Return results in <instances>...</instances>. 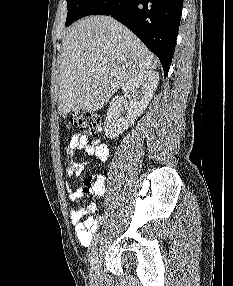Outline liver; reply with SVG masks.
Wrapping results in <instances>:
<instances>
[{"mask_svg": "<svg viewBox=\"0 0 233 286\" xmlns=\"http://www.w3.org/2000/svg\"><path fill=\"white\" fill-rule=\"evenodd\" d=\"M157 66L149 49L112 17L83 18L63 38L58 111L95 112L131 77Z\"/></svg>", "mask_w": 233, "mask_h": 286, "instance_id": "liver-1", "label": "liver"}]
</instances>
